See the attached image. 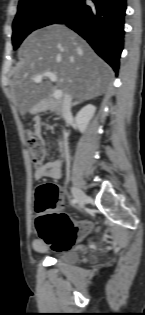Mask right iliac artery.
Returning a JSON list of instances; mask_svg holds the SVG:
<instances>
[{"mask_svg":"<svg viewBox=\"0 0 145 315\" xmlns=\"http://www.w3.org/2000/svg\"><path fill=\"white\" fill-rule=\"evenodd\" d=\"M76 203H77V200H76V199H72V200H71V204H72V205H75Z\"/></svg>","mask_w":145,"mask_h":315,"instance_id":"right-iliac-artery-1","label":"right iliac artery"}]
</instances>
